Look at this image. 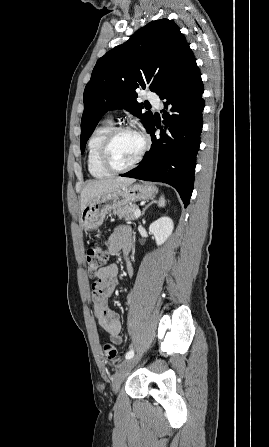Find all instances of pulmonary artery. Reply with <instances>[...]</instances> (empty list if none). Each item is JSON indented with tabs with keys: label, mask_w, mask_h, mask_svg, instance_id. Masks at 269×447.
<instances>
[{
	"label": "pulmonary artery",
	"mask_w": 269,
	"mask_h": 447,
	"mask_svg": "<svg viewBox=\"0 0 269 447\" xmlns=\"http://www.w3.org/2000/svg\"><path fill=\"white\" fill-rule=\"evenodd\" d=\"M148 98L152 101V103L155 105L157 109H160L162 107L160 99L156 96L155 91L150 90L147 93Z\"/></svg>",
	"instance_id": "obj_1"
}]
</instances>
